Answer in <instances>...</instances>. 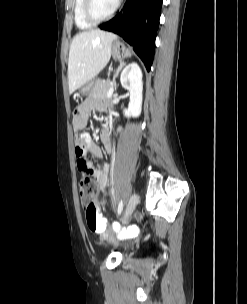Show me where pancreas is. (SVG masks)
I'll list each match as a JSON object with an SVG mask.
<instances>
[{
    "label": "pancreas",
    "instance_id": "1",
    "mask_svg": "<svg viewBox=\"0 0 247 304\" xmlns=\"http://www.w3.org/2000/svg\"><path fill=\"white\" fill-rule=\"evenodd\" d=\"M111 88V82L109 80H97L89 91V97L93 98H103V97H111L109 96V90Z\"/></svg>",
    "mask_w": 247,
    "mask_h": 304
}]
</instances>
